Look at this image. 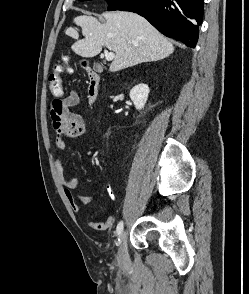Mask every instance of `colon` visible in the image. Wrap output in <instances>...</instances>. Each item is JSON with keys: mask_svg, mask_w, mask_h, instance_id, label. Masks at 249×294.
<instances>
[{"mask_svg": "<svg viewBox=\"0 0 249 294\" xmlns=\"http://www.w3.org/2000/svg\"><path fill=\"white\" fill-rule=\"evenodd\" d=\"M65 73H71V68L69 66V56L63 55L61 58V63L55 66L53 72L49 78V86L54 100H59L64 92L63 85V75Z\"/></svg>", "mask_w": 249, "mask_h": 294, "instance_id": "1", "label": "colon"}]
</instances>
